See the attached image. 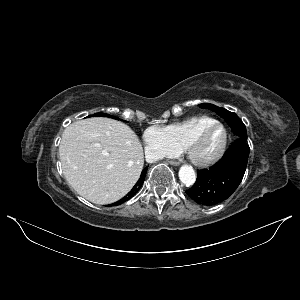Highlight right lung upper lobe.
<instances>
[{
  "mask_svg": "<svg viewBox=\"0 0 300 300\" xmlns=\"http://www.w3.org/2000/svg\"><path fill=\"white\" fill-rule=\"evenodd\" d=\"M136 187H138V188H137V191H138V190L140 189L141 185L137 184Z\"/></svg>",
  "mask_w": 300,
  "mask_h": 300,
  "instance_id": "obj_1",
  "label": "right lung upper lobe"
}]
</instances>
